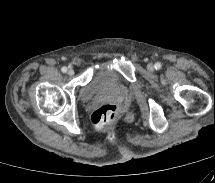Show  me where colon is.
Segmentation results:
<instances>
[{
	"instance_id": "obj_1",
	"label": "colon",
	"mask_w": 215,
	"mask_h": 183,
	"mask_svg": "<svg viewBox=\"0 0 215 183\" xmlns=\"http://www.w3.org/2000/svg\"><path fill=\"white\" fill-rule=\"evenodd\" d=\"M118 112L119 110L116 105L106 104L92 114V123L96 127H103L113 122L117 118Z\"/></svg>"
}]
</instances>
